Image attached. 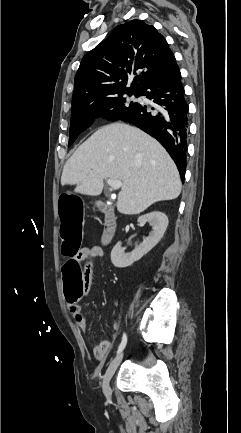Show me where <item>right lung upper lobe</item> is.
<instances>
[{
	"label": "right lung upper lobe",
	"instance_id": "right-lung-upper-lobe-1",
	"mask_svg": "<svg viewBox=\"0 0 241 433\" xmlns=\"http://www.w3.org/2000/svg\"><path fill=\"white\" fill-rule=\"evenodd\" d=\"M174 63L167 41L153 26L140 20L119 25L83 57L75 77L72 105L123 91H139ZM136 72L138 75L126 87Z\"/></svg>",
	"mask_w": 241,
	"mask_h": 433
}]
</instances>
